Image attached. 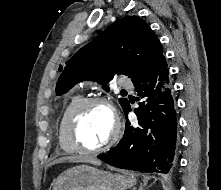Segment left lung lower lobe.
<instances>
[{"mask_svg": "<svg viewBox=\"0 0 221 190\" xmlns=\"http://www.w3.org/2000/svg\"><path fill=\"white\" fill-rule=\"evenodd\" d=\"M138 99L134 110L138 124L128 118L118 145L97 157L121 169L139 172L171 173L177 162L178 135L169 69L165 57L140 79L133 82ZM130 104L124 109L127 116Z\"/></svg>", "mask_w": 221, "mask_h": 190, "instance_id": "1", "label": "left lung lower lobe"}]
</instances>
